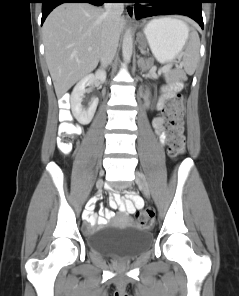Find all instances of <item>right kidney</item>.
<instances>
[{
  "label": "right kidney",
  "instance_id": "1",
  "mask_svg": "<svg viewBox=\"0 0 239 296\" xmlns=\"http://www.w3.org/2000/svg\"><path fill=\"white\" fill-rule=\"evenodd\" d=\"M105 80L106 72L99 70L95 74H88L83 77L74 87L70 97V103L72 113L79 123L85 125L91 122L99 102L97 97H93L88 107L82 106L86 87L93 85L96 81L103 83Z\"/></svg>",
  "mask_w": 239,
  "mask_h": 296
}]
</instances>
